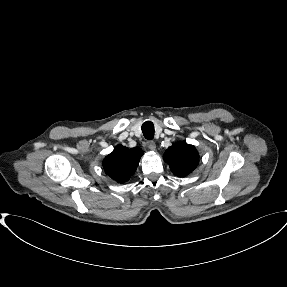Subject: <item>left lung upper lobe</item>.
I'll use <instances>...</instances> for the list:
<instances>
[{
    "mask_svg": "<svg viewBox=\"0 0 287 287\" xmlns=\"http://www.w3.org/2000/svg\"><path fill=\"white\" fill-rule=\"evenodd\" d=\"M163 159L174 175L184 177L196 168L199 154L193 145L178 142L166 150Z\"/></svg>",
    "mask_w": 287,
    "mask_h": 287,
    "instance_id": "left-lung-upper-lobe-1",
    "label": "left lung upper lobe"
}]
</instances>
